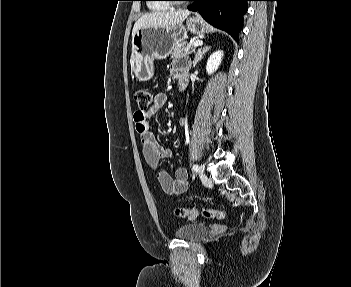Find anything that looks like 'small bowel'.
Returning <instances> with one entry per match:
<instances>
[{
	"instance_id": "c3829d8e",
	"label": "small bowel",
	"mask_w": 351,
	"mask_h": 287,
	"mask_svg": "<svg viewBox=\"0 0 351 287\" xmlns=\"http://www.w3.org/2000/svg\"><path fill=\"white\" fill-rule=\"evenodd\" d=\"M171 72L184 78L187 72L185 60H175L170 66ZM167 103V95L157 93L149 110H137L134 114L136 131L139 134L141 149L147 165L156 170V178L162 189L170 195H180L188 189V173L183 167L177 168L174 177L164 170H158L162 158H171L172 151L160 145L154 134L150 131L149 119L158 113ZM182 124L184 121L182 120Z\"/></svg>"
}]
</instances>
